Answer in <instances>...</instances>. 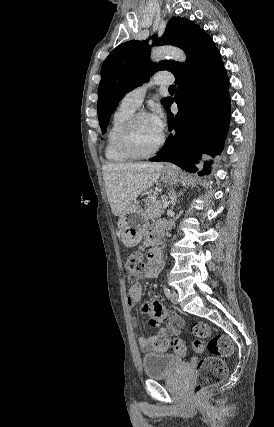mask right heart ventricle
Segmentation results:
<instances>
[{
  "label": "right heart ventricle",
  "mask_w": 274,
  "mask_h": 427,
  "mask_svg": "<svg viewBox=\"0 0 274 427\" xmlns=\"http://www.w3.org/2000/svg\"><path fill=\"white\" fill-rule=\"evenodd\" d=\"M135 113L134 110L122 107L115 111L109 129L105 137V157L113 164H123L131 159L119 146V134L126 121Z\"/></svg>",
  "instance_id": "right-heart-ventricle-1"
}]
</instances>
